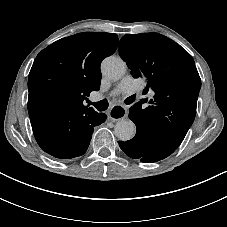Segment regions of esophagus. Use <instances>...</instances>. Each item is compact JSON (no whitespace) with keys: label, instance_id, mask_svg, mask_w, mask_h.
<instances>
[{"label":"esophagus","instance_id":"1","mask_svg":"<svg viewBox=\"0 0 227 227\" xmlns=\"http://www.w3.org/2000/svg\"><path fill=\"white\" fill-rule=\"evenodd\" d=\"M127 115V109L123 105H113L109 112L108 118L113 121L121 120Z\"/></svg>","mask_w":227,"mask_h":227}]
</instances>
